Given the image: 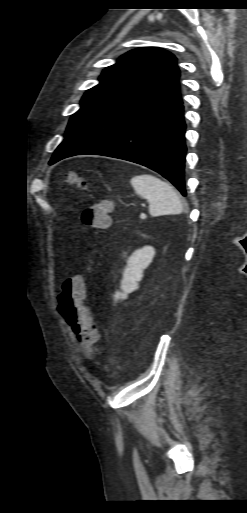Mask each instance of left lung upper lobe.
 I'll return each instance as SVG.
<instances>
[{"label": "left lung upper lobe", "instance_id": "obj_1", "mask_svg": "<svg viewBox=\"0 0 247 513\" xmlns=\"http://www.w3.org/2000/svg\"><path fill=\"white\" fill-rule=\"evenodd\" d=\"M176 60L168 51L155 47L122 55L103 71L100 83L84 94L80 110L69 121L66 137L178 76Z\"/></svg>", "mask_w": 247, "mask_h": 513}]
</instances>
